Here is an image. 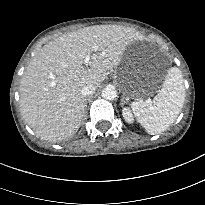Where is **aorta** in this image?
I'll return each instance as SVG.
<instances>
[{
    "mask_svg": "<svg viewBox=\"0 0 205 205\" xmlns=\"http://www.w3.org/2000/svg\"><path fill=\"white\" fill-rule=\"evenodd\" d=\"M102 97L106 100H114L117 97V91L113 86H107L102 91Z\"/></svg>",
    "mask_w": 205,
    "mask_h": 205,
    "instance_id": "762f6f07",
    "label": "aorta"
}]
</instances>
